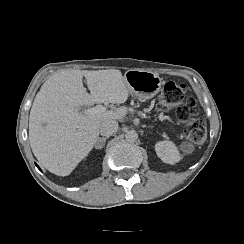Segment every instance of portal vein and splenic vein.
I'll return each instance as SVG.
<instances>
[{"mask_svg": "<svg viewBox=\"0 0 244 244\" xmlns=\"http://www.w3.org/2000/svg\"><path fill=\"white\" fill-rule=\"evenodd\" d=\"M106 111V107L102 106V105H97L93 108H88L85 109L84 112L88 113V114H96V113H103Z\"/></svg>", "mask_w": 244, "mask_h": 244, "instance_id": "1", "label": "portal vein and splenic vein"}]
</instances>
